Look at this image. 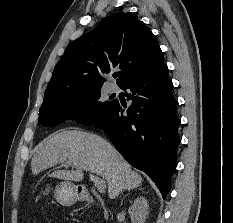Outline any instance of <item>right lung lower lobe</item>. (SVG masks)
<instances>
[{
    "mask_svg": "<svg viewBox=\"0 0 233 223\" xmlns=\"http://www.w3.org/2000/svg\"><path fill=\"white\" fill-rule=\"evenodd\" d=\"M120 87L128 89L127 100H132V105L123 114V104L114 100L112 106L102 110L87 126L104 130L122 156L145 172L165 198L180 143L178 102L172 94L167 65L162 63Z\"/></svg>",
    "mask_w": 233,
    "mask_h": 223,
    "instance_id": "obj_1",
    "label": "right lung lower lobe"
}]
</instances>
